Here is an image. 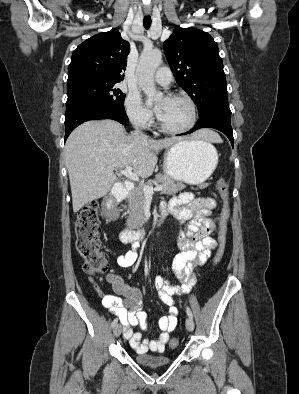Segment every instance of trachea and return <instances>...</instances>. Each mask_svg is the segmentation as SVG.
Instances as JSON below:
<instances>
[{"instance_id": "1", "label": "trachea", "mask_w": 299, "mask_h": 394, "mask_svg": "<svg viewBox=\"0 0 299 394\" xmlns=\"http://www.w3.org/2000/svg\"><path fill=\"white\" fill-rule=\"evenodd\" d=\"M143 25L145 29H149L151 26V17L150 15H146L143 19Z\"/></svg>"}]
</instances>
